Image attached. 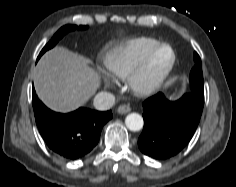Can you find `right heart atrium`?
Masks as SVG:
<instances>
[{
    "label": "right heart atrium",
    "instance_id": "right-heart-atrium-1",
    "mask_svg": "<svg viewBox=\"0 0 236 187\" xmlns=\"http://www.w3.org/2000/svg\"><path fill=\"white\" fill-rule=\"evenodd\" d=\"M105 79H106V81H107V84H108V85H111L110 80H109L108 78H105Z\"/></svg>",
    "mask_w": 236,
    "mask_h": 187
}]
</instances>
